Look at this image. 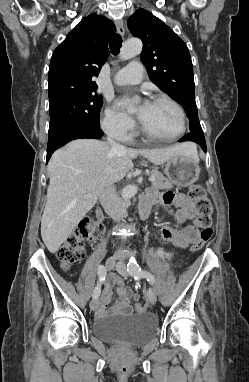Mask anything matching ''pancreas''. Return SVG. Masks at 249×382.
Masks as SVG:
<instances>
[{"instance_id": "obj_1", "label": "pancreas", "mask_w": 249, "mask_h": 382, "mask_svg": "<svg viewBox=\"0 0 249 382\" xmlns=\"http://www.w3.org/2000/svg\"><path fill=\"white\" fill-rule=\"evenodd\" d=\"M151 177H154L155 180L152 182V188L155 190L158 189H171L173 188V182L168 178L164 177L161 172L157 169L151 171Z\"/></svg>"}]
</instances>
